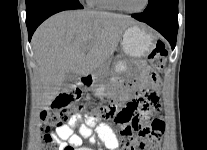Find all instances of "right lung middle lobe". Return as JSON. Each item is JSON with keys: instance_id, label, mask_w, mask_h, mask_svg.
Returning a JSON list of instances; mask_svg holds the SVG:
<instances>
[{"instance_id": "1", "label": "right lung middle lobe", "mask_w": 207, "mask_h": 150, "mask_svg": "<svg viewBox=\"0 0 207 150\" xmlns=\"http://www.w3.org/2000/svg\"><path fill=\"white\" fill-rule=\"evenodd\" d=\"M41 1H43V0H26V6H27V8H30V7L35 6L36 4L40 3ZM76 1H78V0H76Z\"/></svg>"}]
</instances>
